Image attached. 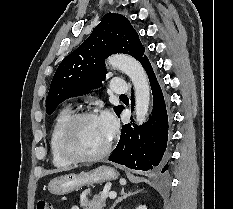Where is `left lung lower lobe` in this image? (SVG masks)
<instances>
[{
  "label": "left lung lower lobe",
  "instance_id": "0a47b994",
  "mask_svg": "<svg viewBox=\"0 0 233 209\" xmlns=\"http://www.w3.org/2000/svg\"><path fill=\"white\" fill-rule=\"evenodd\" d=\"M140 63L148 75L152 89V116L140 127L134 123L122 127L120 140L109 160L131 169L148 171L161 164L167 146L168 116L161 88L148 58L144 56ZM133 105L132 100L131 107ZM167 168L168 164L163 167L162 172Z\"/></svg>",
  "mask_w": 233,
  "mask_h": 209
}]
</instances>
